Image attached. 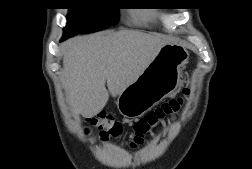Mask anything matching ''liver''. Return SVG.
<instances>
[{
  "label": "liver",
  "mask_w": 252,
  "mask_h": 169,
  "mask_svg": "<svg viewBox=\"0 0 252 169\" xmlns=\"http://www.w3.org/2000/svg\"><path fill=\"white\" fill-rule=\"evenodd\" d=\"M168 37L134 30L77 36L66 41L63 85L75 122L93 117L135 82ZM106 83L108 90L106 88Z\"/></svg>",
  "instance_id": "obj_1"
}]
</instances>
